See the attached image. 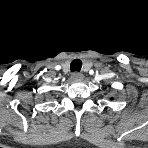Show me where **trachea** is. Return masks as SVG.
<instances>
[{"instance_id":"1","label":"trachea","mask_w":148,"mask_h":148,"mask_svg":"<svg viewBox=\"0 0 148 148\" xmlns=\"http://www.w3.org/2000/svg\"><path fill=\"white\" fill-rule=\"evenodd\" d=\"M70 68L72 72H79L82 68V61L80 59H75L71 62Z\"/></svg>"}]
</instances>
